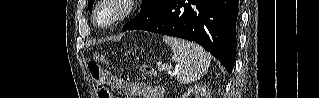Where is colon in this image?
Segmentation results:
<instances>
[{"mask_svg": "<svg viewBox=\"0 0 319 98\" xmlns=\"http://www.w3.org/2000/svg\"><path fill=\"white\" fill-rule=\"evenodd\" d=\"M105 62V58L103 56L97 55V60L92 61L89 63V73L91 75L92 80L97 84L98 86V97L99 98H111V94L108 90V88L105 86L106 82V75L104 72V69L102 67V63ZM141 71L145 75L148 76H154V70L150 65H142Z\"/></svg>", "mask_w": 319, "mask_h": 98, "instance_id": "5ec220e1", "label": "colon"}]
</instances>
